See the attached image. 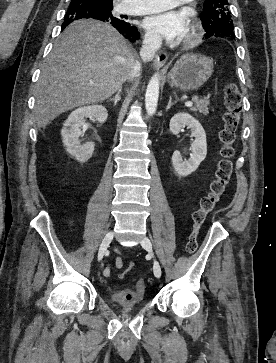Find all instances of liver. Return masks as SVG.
I'll return each mask as SVG.
<instances>
[{
	"instance_id": "liver-1",
	"label": "liver",
	"mask_w": 276,
	"mask_h": 363,
	"mask_svg": "<svg viewBox=\"0 0 276 363\" xmlns=\"http://www.w3.org/2000/svg\"><path fill=\"white\" fill-rule=\"evenodd\" d=\"M135 52L111 25L92 19L70 24L41 67L35 119L45 128L60 114L103 102L131 76Z\"/></svg>"
}]
</instances>
